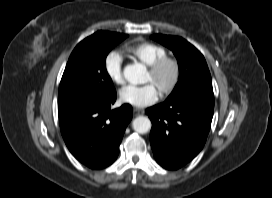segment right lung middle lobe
Here are the masks:
<instances>
[{
  "label": "right lung middle lobe",
  "mask_w": 272,
  "mask_h": 198,
  "mask_svg": "<svg viewBox=\"0 0 272 198\" xmlns=\"http://www.w3.org/2000/svg\"><path fill=\"white\" fill-rule=\"evenodd\" d=\"M126 37L106 32L87 37L75 47L60 82L58 106L81 100H104L116 94L106 71V56Z\"/></svg>",
  "instance_id": "1"
}]
</instances>
